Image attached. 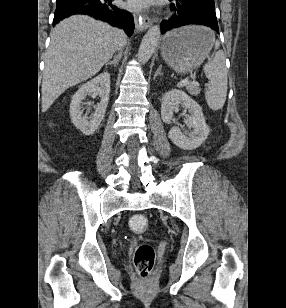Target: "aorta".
Returning <instances> with one entry per match:
<instances>
[{"instance_id":"1","label":"aorta","mask_w":286,"mask_h":308,"mask_svg":"<svg viewBox=\"0 0 286 308\" xmlns=\"http://www.w3.org/2000/svg\"><path fill=\"white\" fill-rule=\"evenodd\" d=\"M160 35L161 29L159 25H154L149 28L147 33L144 35L138 50L137 58L140 63L144 64L151 58L157 48Z\"/></svg>"}]
</instances>
